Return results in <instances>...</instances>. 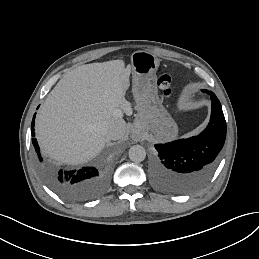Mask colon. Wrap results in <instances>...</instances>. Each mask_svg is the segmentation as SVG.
Returning <instances> with one entry per match:
<instances>
[{
	"label": "colon",
	"instance_id": "obj_1",
	"mask_svg": "<svg viewBox=\"0 0 259 259\" xmlns=\"http://www.w3.org/2000/svg\"><path fill=\"white\" fill-rule=\"evenodd\" d=\"M158 86L166 97H170L175 91V80L169 74L160 73L158 77Z\"/></svg>",
	"mask_w": 259,
	"mask_h": 259
}]
</instances>
